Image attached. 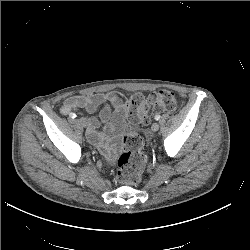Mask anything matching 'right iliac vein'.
<instances>
[{"mask_svg":"<svg viewBox=\"0 0 250 250\" xmlns=\"http://www.w3.org/2000/svg\"><path fill=\"white\" fill-rule=\"evenodd\" d=\"M78 122L83 126L86 127L87 126V120L86 118L82 117L78 119Z\"/></svg>","mask_w":250,"mask_h":250,"instance_id":"obj_1","label":"right iliac vein"}]
</instances>
